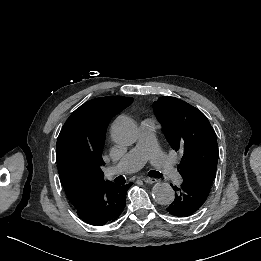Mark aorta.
I'll list each match as a JSON object with an SVG mask.
<instances>
[{
	"instance_id": "762f6f07",
	"label": "aorta",
	"mask_w": 261,
	"mask_h": 261,
	"mask_svg": "<svg viewBox=\"0 0 261 261\" xmlns=\"http://www.w3.org/2000/svg\"><path fill=\"white\" fill-rule=\"evenodd\" d=\"M111 135L116 143L129 146L137 140V126L128 118H119L112 124ZM152 196L158 204L169 205L174 201L175 192L169 183L158 182L152 188Z\"/></svg>"
}]
</instances>
